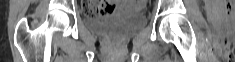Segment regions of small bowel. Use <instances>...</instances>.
I'll return each mask as SVG.
<instances>
[{"label":"small bowel","instance_id":"small-bowel-1","mask_svg":"<svg viewBox=\"0 0 235 62\" xmlns=\"http://www.w3.org/2000/svg\"><path fill=\"white\" fill-rule=\"evenodd\" d=\"M97 6H99L103 9L102 14H110L117 9L114 2L89 3L87 5V8H96Z\"/></svg>","mask_w":235,"mask_h":62}]
</instances>
